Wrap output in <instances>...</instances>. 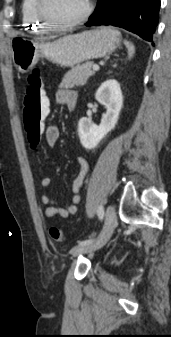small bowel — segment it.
Here are the masks:
<instances>
[{"mask_svg":"<svg viewBox=\"0 0 171 337\" xmlns=\"http://www.w3.org/2000/svg\"><path fill=\"white\" fill-rule=\"evenodd\" d=\"M78 101V95L75 91L69 89H59L55 93V102L57 105H67L70 109L75 108ZM46 109H49L48 107ZM46 141L50 146H55L60 139V129L58 126L49 125L45 129ZM79 167V172L73 179L71 190L72 198L71 202L66 205H59L58 201L51 196L44 194L41 197V201L46 205L45 216L48 219H52L55 216L63 218L74 215L78 211V205L80 203V189L83 186L85 179L89 171V163L84 157H78L76 159ZM50 184V178L48 176H42L40 179V185L43 188L48 187Z\"/></svg>","mask_w":171,"mask_h":337,"instance_id":"1","label":"small bowel"}]
</instances>
